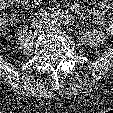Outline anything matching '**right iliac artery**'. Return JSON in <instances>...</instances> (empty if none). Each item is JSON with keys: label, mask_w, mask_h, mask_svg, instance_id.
Instances as JSON below:
<instances>
[{"label": "right iliac artery", "mask_w": 113, "mask_h": 113, "mask_svg": "<svg viewBox=\"0 0 113 113\" xmlns=\"http://www.w3.org/2000/svg\"><path fill=\"white\" fill-rule=\"evenodd\" d=\"M67 14L64 11H41L39 14H37L36 18L33 19L32 27L35 29L40 26L42 22L47 20L50 17H58L60 19H65Z\"/></svg>", "instance_id": "obj_1"}]
</instances>
